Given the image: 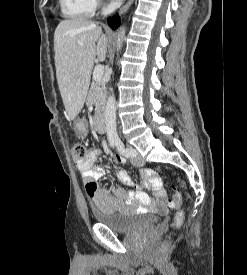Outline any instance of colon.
Listing matches in <instances>:
<instances>
[{
    "mask_svg": "<svg viewBox=\"0 0 247 275\" xmlns=\"http://www.w3.org/2000/svg\"><path fill=\"white\" fill-rule=\"evenodd\" d=\"M72 157L76 162L82 161L87 156V149L83 144L76 143L72 146L71 149ZM86 192L89 195H92L96 191V185L94 183H88L85 186ZM181 205V194L178 190L174 191L173 199L170 202V207L176 210L173 225L178 228L183 224L185 214L180 210Z\"/></svg>",
    "mask_w": 247,
    "mask_h": 275,
    "instance_id": "colon-1",
    "label": "colon"
}]
</instances>
